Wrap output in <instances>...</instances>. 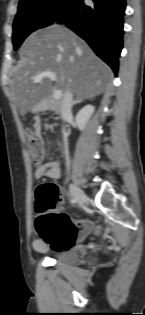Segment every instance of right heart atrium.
Wrapping results in <instances>:
<instances>
[{"mask_svg":"<svg viewBox=\"0 0 145 315\" xmlns=\"http://www.w3.org/2000/svg\"><path fill=\"white\" fill-rule=\"evenodd\" d=\"M59 17V12L55 6H47L42 13V19L47 24L55 23Z\"/></svg>","mask_w":145,"mask_h":315,"instance_id":"1","label":"right heart atrium"}]
</instances>
